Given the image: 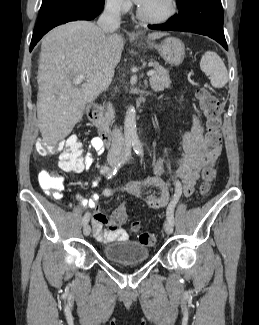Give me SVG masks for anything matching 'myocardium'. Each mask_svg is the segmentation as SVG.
<instances>
[{"label": "myocardium", "mask_w": 259, "mask_h": 325, "mask_svg": "<svg viewBox=\"0 0 259 325\" xmlns=\"http://www.w3.org/2000/svg\"><path fill=\"white\" fill-rule=\"evenodd\" d=\"M167 8L164 13L160 15H150L145 12L142 6L138 8L139 17L149 23H164L172 19L177 13V2L176 0H166Z\"/></svg>", "instance_id": "myocardium-1"}]
</instances>
